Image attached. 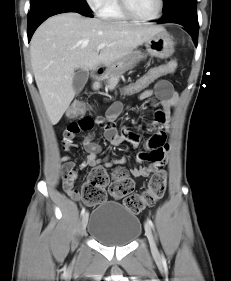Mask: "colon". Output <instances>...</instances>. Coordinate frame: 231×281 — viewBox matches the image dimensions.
<instances>
[{"instance_id": "1", "label": "colon", "mask_w": 231, "mask_h": 281, "mask_svg": "<svg viewBox=\"0 0 231 281\" xmlns=\"http://www.w3.org/2000/svg\"><path fill=\"white\" fill-rule=\"evenodd\" d=\"M177 68V62L172 60L165 64L150 68L145 74L135 80L127 82L120 88L123 96L140 95L157 79L172 74ZM82 102H74L69 108V115L76 116L83 112ZM110 183V184H109ZM115 199H124V205L133 213H138L147 207L153 206L160 200L166 190L167 175L163 170L156 171L150 178L147 188L142 193L131 194L134 182L124 168L116 169L110 182L109 175L102 167L93 168L88 180L83 184L81 191H77L80 199L89 205H96L106 199V186Z\"/></svg>"}]
</instances>
